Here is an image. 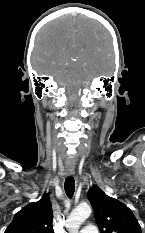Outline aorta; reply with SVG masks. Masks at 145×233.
Returning a JSON list of instances; mask_svg holds the SVG:
<instances>
[{"label":"aorta","mask_w":145,"mask_h":233,"mask_svg":"<svg viewBox=\"0 0 145 233\" xmlns=\"http://www.w3.org/2000/svg\"><path fill=\"white\" fill-rule=\"evenodd\" d=\"M92 209L88 204H80L66 220V228L69 233H78L81 224L91 215Z\"/></svg>","instance_id":"aorta-1"}]
</instances>
